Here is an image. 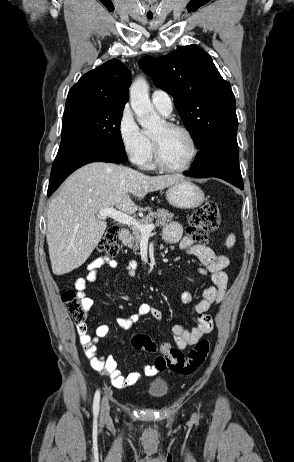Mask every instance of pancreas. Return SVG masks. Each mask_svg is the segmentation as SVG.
<instances>
[{"instance_id":"obj_1","label":"pancreas","mask_w":294,"mask_h":462,"mask_svg":"<svg viewBox=\"0 0 294 462\" xmlns=\"http://www.w3.org/2000/svg\"><path fill=\"white\" fill-rule=\"evenodd\" d=\"M173 217L174 215L168 210L157 209L156 211H149L148 215H146L144 218L139 219L138 222L143 225L153 224V222H155V224L159 226L171 222ZM131 229L132 234L128 235V237L125 240V244L129 248H132L134 251H137L139 249V243L142 234L136 227H132Z\"/></svg>"}]
</instances>
